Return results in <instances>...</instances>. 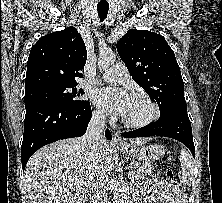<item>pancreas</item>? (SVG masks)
<instances>
[{
	"label": "pancreas",
	"instance_id": "obj_1",
	"mask_svg": "<svg viewBox=\"0 0 222 203\" xmlns=\"http://www.w3.org/2000/svg\"><path fill=\"white\" fill-rule=\"evenodd\" d=\"M154 167L147 164H141L139 162L133 161L130 164L129 177L132 182L143 180L147 175H151Z\"/></svg>",
	"mask_w": 222,
	"mask_h": 203
}]
</instances>
